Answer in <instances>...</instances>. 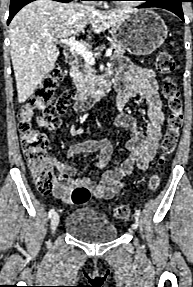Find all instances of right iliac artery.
Wrapping results in <instances>:
<instances>
[{
    "label": "right iliac artery",
    "instance_id": "right-iliac-artery-1",
    "mask_svg": "<svg viewBox=\"0 0 193 287\" xmlns=\"http://www.w3.org/2000/svg\"><path fill=\"white\" fill-rule=\"evenodd\" d=\"M54 213H55V209L52 208V209L49 211V215H48L49 218H51Z\"/></svg>",
    "mask_w": 193,
    "mask_h": 287
}]
</instances>
